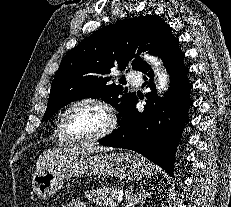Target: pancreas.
<instances>
[{
  "mask_svg": "<svg viewBox=\"0 0 231 207\" xmlns=\"http://www.w3.org/2000/svg\"><path fill=\"white\" fill-rule=\"evenodd\" d=\"M117 193V188L102 187L86 192L85 197L100 207H110V204L116 201Z\"/></svg>",
  "mask_w": 231,
  "mask_h": 207,
  "instance_id": "cf45deb5",
  "label": "pancreas"
}]
</instances>
